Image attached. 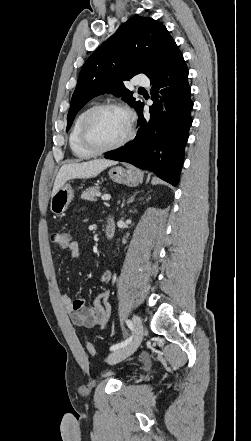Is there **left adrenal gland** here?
Instances as JSON below:
<instances>
[{
  "label": "left adrenal gland",
  "instance_id": "a2214340",
  "mask_svg": "<svg viewBox=\"0 0 251 441\" xmlns=\"http://www.w3.org/2000/svg\"><path fill=\"white\" fill-rule=\"evenodd\" d=\"M137 193L138 192H136L133 196H131V198L128 200L129 203L133 201V199H134V197L136 196Z\"/></svg>",
  "mask_w": 251,
  "mask_h": 441
}]
</instances>
